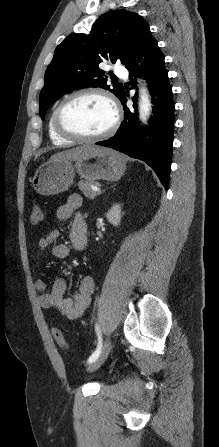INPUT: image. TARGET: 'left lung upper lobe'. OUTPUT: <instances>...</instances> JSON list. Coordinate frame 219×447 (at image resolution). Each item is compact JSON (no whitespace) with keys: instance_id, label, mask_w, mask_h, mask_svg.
<instances>
[{"instance_id":"left-lung-upper-lobe-1","label":"left lung upper lobe","mask_w":219,"mask_h":447,"mask_svg":"<svg viewBox=\"0 0 219 447\" xmlns=\"http://www.w3.org/2000/svg\"><path fill=\"white\" fill-rule=\"evenodd\" d=\"M151 34L147 22L137 13L112 10L102 15L89 34H71L57 46L45 73L41 90L40 116L64 94L81 88L101 87L119 99L125 93L122 84L107 85L99 64L106 61L126 63L133 58Z\"/></svg>"}]
</instances>
